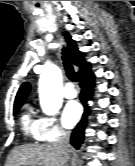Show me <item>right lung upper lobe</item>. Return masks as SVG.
Returning a JSON list of instances; mask_svg holds the SVG:
<instances>
[{
    "label": "right lung upper lobe",
    "instance_id": "cb5924a9",
    "mask_svg": "<svg viewBox=\"0 0 135 166\" xmlns=\"http://www.w3.org/2000/svg\"><path fill=\"white\" fill-rule=\"evenodd\" d=\"M63 35L65 37L67 43V49L69 51L70 57L72 58L73 64L77 65L80 69L83 68L88 63L84 60L83 54L78 50L76 42L71 39L69 33L64 32ZM29 91H30L29 83H24L21 85L15 98L14 107H19L23 105Z\"/></svg>",
    "mask_w": 135,
    "mask_h": 166
}]
</instances>
